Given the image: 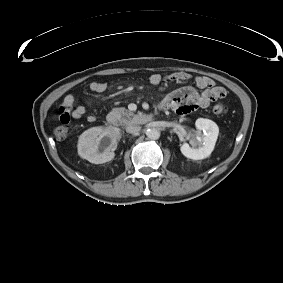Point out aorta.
<instances>
[{
  "label": "aorta",
  "instance_id": "1",
  "mask_svg": "<svg viewBox=\"0 0 283 283\" xmlns=\"http://www.w3.org/2000/svg\"><path fill=\"white\" fill-rule=\"evenodd\" d=\"M147 137L150 140H157L160 137V131L156 128H151L147 131Z\"/></svg>",
  "mask_w": 283,
  "mask_h": 283
}]
</instances>
